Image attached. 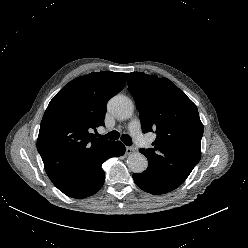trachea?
<instances>
[{"label": "trachea", "instance_id": "obj_1", "mask_svg": "<svg viewBox=\"0 0 248 248\" xmlns=\"http://www.w3.org/2000/svg\"><path fill=\"white\" fill-rule=\"evenodd\" d=\"M101 138L104 139H111V140H116L120 138V133L117 131H111L108 134L104 135V136H99ZM121 140L123 141V143L127 146H131L132 145V139L128 134H123L121 136Z\"/></svg>", "mask_w": 248, "mask_h": 248}]
</instances>
